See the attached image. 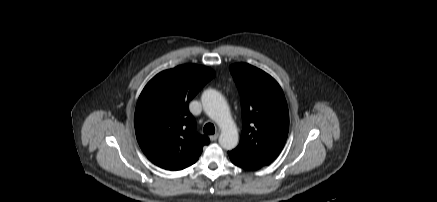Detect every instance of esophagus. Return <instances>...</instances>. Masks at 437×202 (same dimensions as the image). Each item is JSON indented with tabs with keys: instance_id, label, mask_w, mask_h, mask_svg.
Segmentation results:
<instances>
[{
	"instance_id": "1",
	"label": "esophagus",
	"mask_w": 437,
	"mask_h": 202,
	"mask_svg": "<svg viewBox=\"0 0 437 202\" xmlns=\"http://www.w3.org/2000/svg\"><path fill=\"white\" fill-rule=\"evenodd\" d=\"M218 137H219V134L216 133V134L210 136V140L211 141H216L218 139Z\"/></svg>"
}]
</instances>
